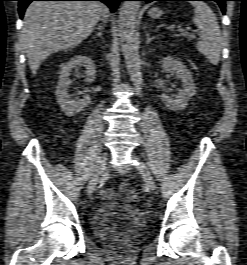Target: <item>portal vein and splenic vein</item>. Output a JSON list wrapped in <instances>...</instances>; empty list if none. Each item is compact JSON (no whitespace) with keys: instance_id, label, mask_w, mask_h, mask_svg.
<instances>
[{"instance_id":"obj_1","label":"portal vein and splenic vein","mask_w":247,"mask_h":265,"mask_svg":"<svg viewBox=\"0 0 247 265\" xmlns=\"http://www.w3.org/2000/svg\"><path fill=\"white\" fill-rule=\"evenodd\" d=\"M178 31H179L180 33H184L186 30L183 29V28H180V29H178Z\"/></svg>"}]
</instances>
